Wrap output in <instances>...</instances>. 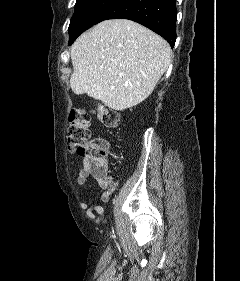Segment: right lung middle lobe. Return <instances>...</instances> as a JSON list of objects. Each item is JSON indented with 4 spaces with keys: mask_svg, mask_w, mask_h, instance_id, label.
<instances>
[{
    "mask_svg": "<svg viewBox=\"0 0 240 281\" xmlns=\"http://www.w3.org/2000/svg\"><path fill=\"white\" fill-rule=\"evenodd\" d=\"M117 0H77L75 12L69 25V45Z\"/></svg>",
    "mask_w": 240,
    "mask_h": 281,
    "instance_id": "right-lung-middle-lobe-1",
    "label": "right lung middle lobe"
}]
</instances>
